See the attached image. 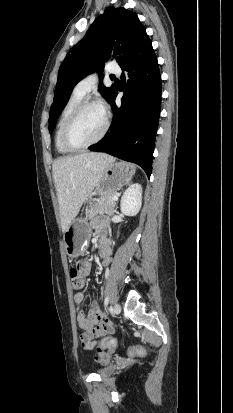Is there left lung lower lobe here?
<instances>
[{"label":"left lung lower lobe","instance_id":"0a47b994","mask_svg":"<svg viewBox=\"0 0 233 413\" xmlns=\"http://www.w3.org/2000/svg\"><path fill=\"white\" fill-rule=\"evenodd\" d=\"M126 71L119 91L121 107L115 105L117 90L109 99L113 120L105 137L90 148L140 165L150 177L161 107V77L148 36L120 64Z\"/></svg>","mask_w":233,"mask_h":413}]
</instances>
